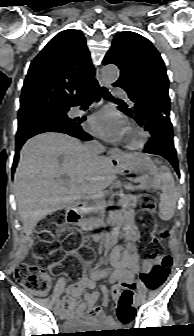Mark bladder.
I'll list each match as a JSON object with an SVG mask.
<instances>
[{
    "label": "bladder",
    "mask_w": 194,
    "mask_h": 336,
    "mask_svg": "<svg viewBox=\"0 0 194 336\" xmlns=\"http://www.w3.org/2000/svg\"><path fill=\"white\" fill-rule=\"evenodd\" d=\"M76 328H81V327L77 325Z\"/></svg>",
    "instance_id": "1"
}]
</instances>
